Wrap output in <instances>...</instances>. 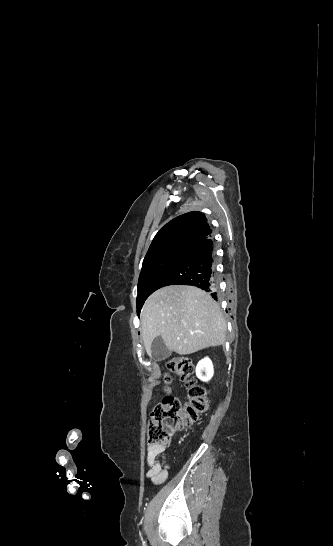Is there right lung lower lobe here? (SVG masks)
Here are the masks:
<instances>
[{"label": "right lung lower lobe", "instance_id": "obj_1", "mask_svg": "<svg viewBox=\"0 0 333 546\" xmlns=\"http://www.w3.org/2000/svg\"><path fill=\"white\" fill-rule=\"evenodd\" d=\"M214 241L211 237L191 248L158 280L156 290L167 285H192L217 300Z\"/></svg>", "mask_w": 333, "mask_h": 546}]
</instances>
